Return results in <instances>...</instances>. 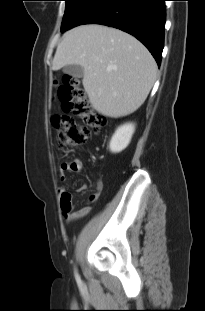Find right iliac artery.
Segmentation results:
<instances>
[{
	"label": "right iliac artery",
	"mask_w": 205,
	"mask_h": 311,
	"mask_svg": "<svg viewBox=\"0 0 205 311\" xmlns=\"http://www.w3.org/2000/svg\"><path fill=\"white\" fill-rule=\"evenodd\" d=\"M75 278H76V281H77L78 283L81 282L80 276H79V274L77 273V271H75Z\"/></svg>",
	"instance_id": "obj_1"
}]
</instances>
